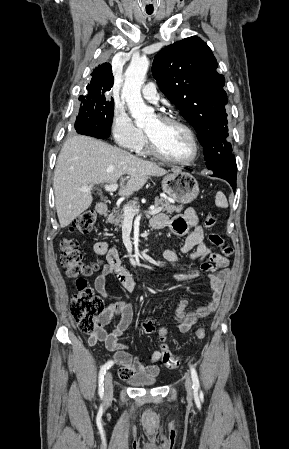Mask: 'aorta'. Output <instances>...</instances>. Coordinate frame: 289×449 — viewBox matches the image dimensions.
Returning <instances> with one entry per match:
<instances>
[{
  "label": "aorta",
  "mask_w": 289,
  "mask_h": 449,
  "mask_svg": "<svg viewBox=\"0 0 289 449\" xmlns=\"http://www.w3.org/2000/svg\"><path fill=\"white\" fill-rule=\"evenodd\" d=\"M149 67V60L142 56L131 60L125 72L122 96L137 126H144L154 117V110L148 107L141 97V86Z\"/></svg>",
  "instance_id": "aorta-1"
}]
</instances>
